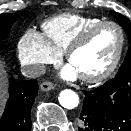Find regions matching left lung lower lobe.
<instances>
[{"instance_id":"0a47b994","label":"left lung lower lobe","mask_w":131,"mask_h":131,"mask_svg":"<svg viewBox=\"0 0 131 131\" xmlns=\"http://www.w3.org/2000/svg\"><path fill=\"white\" fill-rule=\"evenodd\" d=\"M78 131H131V73L116 75L102 86L83 91Z\"/></svg>"}]
</instances>
